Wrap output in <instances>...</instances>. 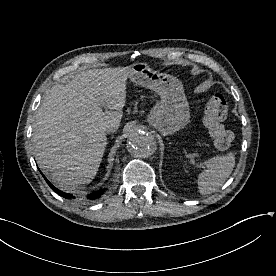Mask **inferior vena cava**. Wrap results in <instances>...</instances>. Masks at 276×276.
I'll return each mask as SVG.
<instances>
[{
	"label": "inferior vena cava",
	"instance_id": "inferior-vena-cava-1",
	"mask_svg": "<svg viewBox=\"0 0 276 276\" xmlns=\"http://www.w3.org/2000/svg\"><path fill=\"white\" fill-rule=\"evenodd\" d=\"M119 127V124L116 122H111V123H107L104 125L103 130L105 131V133H111V132H115Z\"/></svg>",
	"mask_w": 276,
	"mask_h": 276
}]
</instances>
